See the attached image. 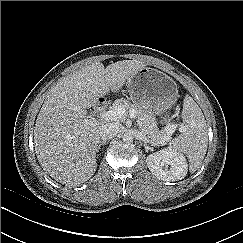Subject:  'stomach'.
Instances as JSON below:
<instances>
[{
	"mask_svg": "<svg viewBox=\"0 0 243 243\" xmlns=\"http://www.w3.org/2000/svg\"><path fill=\"white\" fill-rule=\"evenodd\" d=\"M132 102L159 115L170 109L178 98L176 83L167 74L158 69L143 67L127 82Z\"/></svg>",
	"mask_w": 243,
	"mask_h": 243,
	"instance_id": "stomach-1",
	"label": "stomach"
}]
</instances>
